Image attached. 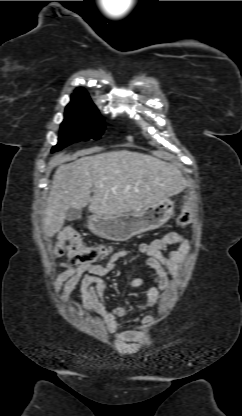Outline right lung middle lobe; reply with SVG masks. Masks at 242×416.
I'll list each match as a JSON object with an SVG mask.
<instances>
[{
	"mask_svg": "<svg viewBox=\"0 0 242 416\" xmlns=\"http://www.w3.org/2000/svg\"><path fill=\"white\" fill-rule=\"evenodd\" d=\"M105 125L94 104L68 105L61 124L58 144L52 152L80 140L98 139Z\"/></svg>",
	"mask_w": 242,
	"mask_h": 416,
	"instance_id": "dd1d6c3e",
	"label": "right lung middle lobe"
}]
</instances>
